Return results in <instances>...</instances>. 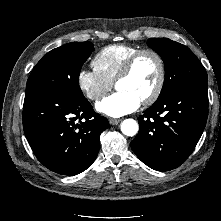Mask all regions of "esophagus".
<instances>
[{
	"label": "esophagus",
	"instance_id": "esophagus-1",
	"mask_svg": "<svg viewBox=\"0 0 221 221\" xmlns=\"http://www.w3.org/2000/svg\"><path fill=\"white\" fill-rule=\"evenodd\" d=\"M120 119H113V118H110L109 119V123L111 124V125H117V124H119L120 123Z\"/></svg>",
	"mask_w": 221,
	"mask_h": 221
}]
</instances>
